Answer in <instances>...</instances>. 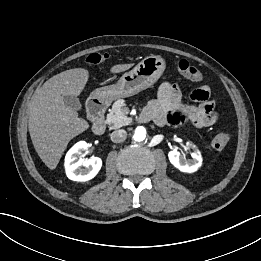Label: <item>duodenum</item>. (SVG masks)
Instances as JSON below:
<instances>
[{"instance_id": "1", "label": "duodenum", "mask_w": 261, "mask_h": 261, "mask_svg": "<svg viewBox=\"0 0 261 261\" xmlns=\"http://www.w3.org/2000/svg\"><path fill=\"white\" fill-rule=\"evenodd\" d=\"M108 106L107 99L101 96L94 97L88 102L87 113L92 121V130L96 135H103L106 129L104 113ZM143 115H141L142 119Z\"/></svg>"}]
</instances>
